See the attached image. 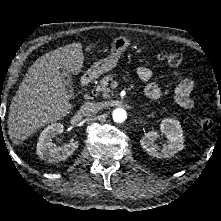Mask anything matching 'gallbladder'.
<instances>
[{
    "mask_svg": "<svg viewBox=\"0 0 221 221\" xmlns=\"http://www.w3.org/2000/svg\"><path fill=\"white\" fill-rule=\"evenodd\" d=\"M61 76H62V80L65 83V85L69 88V91L72 92L73 91V81L71 78L70 73L67 70H62L61 71Z\"/></svg>",
    "mask_w": 221,
    "mask_h": 221,
    "instance_id": "obj_1",
    "label": "gallbladder"
}]
</instances>
